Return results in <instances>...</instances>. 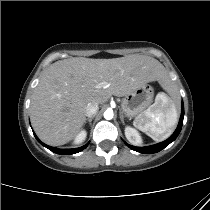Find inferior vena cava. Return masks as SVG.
<instances>
[{"label": "inferior vena cava", "mask_w": 210, "mask_h": 210, "mask_svg": "<svg viewBox=\"0 0 210 210\" xmlns=\"http://www.w3.org/2000/svg\"><path fill=\"white\" fill-rule=\"evenodd\" d=\"M98 110H99L98 104L95 102H90L86 106V116L91 117L95 115L98 112Z\"/></svg>", "instance_id": "inferior-vena-cava-1"}]
</instances>
